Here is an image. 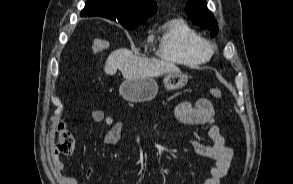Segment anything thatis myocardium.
Returning a JSON list of instances; mask_svg holds the SVG:
<instances>
[{"instance_id": "obj_1", "label": "myocardium", "mask_w": 293, "mask_h": 184, "mask_svg": "<svg viewBox=\"0 0 293 184\" xmlns=\"http://www.w3.org/2000/svg\"><path fill=\"white\" fill-rule=\"evenodd\" d=\"M204 48L210 54L214 51L215 45L209 41H204Z\"/></svg>"}]
</instances>
